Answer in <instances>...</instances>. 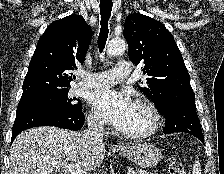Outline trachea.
Segmentation results:
<instances>
[{
    "label": "trachea",
    "instance_id": "1",
    "mask_svg": "<svg viewBox=\"0 0 224 174\" xmlns=\"http://www.w3.org/2000/svg\"><path fill=\"white\" fill-rule=\"evenodd\" d=\"M113 3L111 0H102L100 2V14H101V28H100V34L98 39V47L100 52L103 51L107 38H108V21L111 16Z\"/></svg>",
    "mask_w": 224,
    "mask_h": 174
}]
</instances>
